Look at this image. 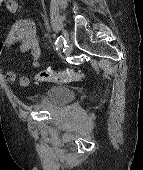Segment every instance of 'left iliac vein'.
Masks as SVG:
<instances>
[{
  "label": "left iliac vein",
  "mask_w": 143,
  "mask_h": 170,
  "mask_svg": "<svg viewBox=\"0 0 143 170\" xmlns=\"http://www.w3.org/2000/svg\"><path fill=\"white\" fill-rule=\"evenodd\" d=\"M63 34H64V39L66 42L65 48H64V53H65V56H69L72 52V46L68 42V38H69L68 33L65 30H63Z\"/></svg>",
  "instance_id": "obj_1"
}]
</instances>
